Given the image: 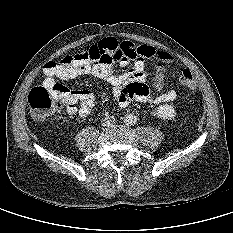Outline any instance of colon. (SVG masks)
Segmentation results:
<instances>
[{"mask_svg":"<svg viewBox=\"0 0 233 233\" xmlns=\"http://www.w3.org/2000/svg\"><path fill=\"white\" fill-rule=\"evenodd\" d=\"M112 46L110 49H112ZM92 50H98L94 47L89 49H82L75 55H67L61 61H50L47 63L49 67L67 66L72 64L78 59H87V55ZM100 51V50H99ZM101 52V51H100ZM180 83L189 91L196 89V83L190 70L184 69L179 77ZM28 103L31 109L32 115L39 120L46 119L54 112L59 110L63 106V100L50 89L46 87H35L28 95Z\"/></svg>","mask_w":233,"mask_h":233,"instance_id":"5ec220e1","label":"colon"}]
</instances>
